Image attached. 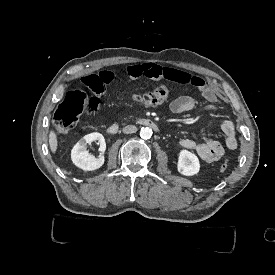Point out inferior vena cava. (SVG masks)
<instances>
[{"instance_id": "obj_1", "label": "inferior vena cava", "mask_w": 275, "mask_h": 275, "mask_svg": "<svg viewBox=\"0 0 275 275\" xmlns=\"http://www.w3.org/2000/svg\"><path fill=\"white\" fill-rule=\"evenodd\" d=\"M137 132V127L134 125H127L123 128V133L130 134Z\"/></svg>"}]
</instances>
